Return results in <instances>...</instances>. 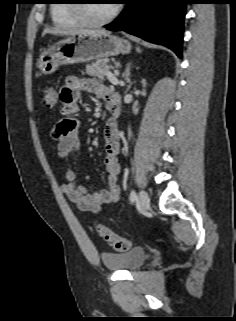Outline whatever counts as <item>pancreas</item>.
Instances as JSON below:
<instances>
[{"label":"pancreas","mask_w":236,"mask_h":321,"mask_svg":"<svg viewBox=\"0 0 236 321\" xmlns=\"http://www.w3.org/2000/svg\"><path fill=\"white\" fill-rule=\"evenodd\" d=\"M111 68L108 66V60L99 59L96 62L86 65V73L94 78H98L99 80H104L106 72Z\"/></svg>","instance_id":"obj_1"}]
</instances>
